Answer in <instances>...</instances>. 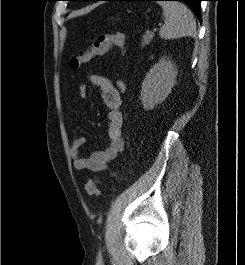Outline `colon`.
Returning <instances> with one entry per match:
<instances>
[{"label": "colon", "instance_id": "colon-1", "mask_svg": "<svg viewBox=\"0 0 245 265\" xmlns=\"http://www.w3.org/2000/svg\"><path fill=\"white\" fill-rule=\"evenodd\" d=\"M118 48L122 54L125 52V35L122 32L99 35L87 48L80 50L69 59V67L72 70H78L83 64L88 63L92 58L104 55L112 48ZM117 87L119 91L124 92L127 89L126 81L118 80ZM98 181L90 179L85 184V192L88 196L99 195Z\"/></svg>", "mask_w": 245, "mask_h": 265}]
</instances>
